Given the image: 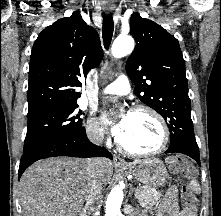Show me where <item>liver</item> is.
Here are the masks:
<instances>
[{"label":"liver","instance_id":"1","mask_svg":"<svg viewBox=\"0 0 221 216\" xmlns=\"http://www.w3.org/2000/svg\"><path fill=\"white\" fill-rule=\"evenodd\" d=\"M88 161H94L103 185L112 174L109 159L56 157L32 164L19 182L22 216H77L89 193Z\"/></svg>","mask_w":221,"mask_h":216}]
</instances>
